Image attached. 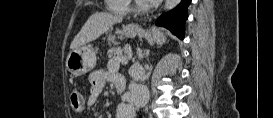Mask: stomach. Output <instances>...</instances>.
I'll return each instance as SVG.
<instances>
[{
  "label": "stomach",
  "mask_w": 273,
  "mask_h": 118,
  "mask_svg": "<svg viewBox=\"0 0 273 118\" xmlns=\"http://www.w3.org/2000/svg\"><path fill=\"white\" fill-rule=\"evenodd\" d=\"M139 32V28L133 25H127L123 28L122 34L133 38ZM115 37L110 33L109 42H114ZM96 66V53L90 45H83L72 50L66 59L67 70L75 77L82 76L91 71Z\"/></svg>",
  "instance_id": "0dacf381"
}]
</instances>
